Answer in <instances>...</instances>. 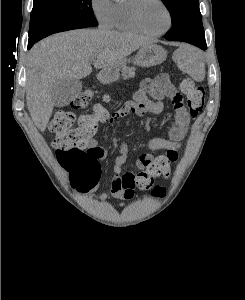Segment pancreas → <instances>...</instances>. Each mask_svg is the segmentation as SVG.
I'll list each match as a JSON object with an SVG mask.
<instances>
[{"instance_id":"cf45deb5","label":"pancreas","mask_w":245,"mask_h":300,"mask_svg":"<svg viewBox=\"0 0 245 300\" xmlns=\"http://www.w3.org/2000/svg\"><path fill=\"white\" fill-rule=\"evenodd\" d=\"M135 76V68L133 67H127L123 70L122 72V77L124 79H129V78H133Z\"/></svg>"}]
</instances>
